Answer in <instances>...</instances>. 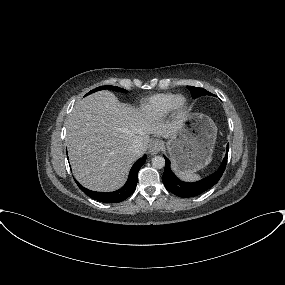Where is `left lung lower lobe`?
<instances>
[{"label":"left lung lower lobe","instance_id":"0a47b994","mask_svg":"<svg viewBox=\"0 0 285 285\" xmlns=\"http://www.w3.org/2000/svg\"><path fill=\"white\" fill-rule=\"evenodd\" d=\"M229 144L227 145V152L219 169L212 175L193 183H187L179 180L170 168V161L165 157V169L162 176V181L168 191L182 197H194L214 186L221 178L227 163Z\"/></svg>","mask_w":285,"mask_h":285}]
</instances>
